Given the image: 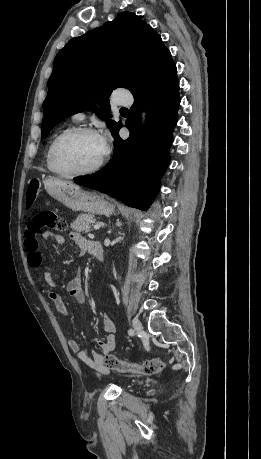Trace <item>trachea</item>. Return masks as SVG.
Wrapping results in <instances>:
<instances>
[{"label":"trachea","mask_w":261,"mask_h":459,"mask_svg":"<svg viewBox=\"0 0 261 459\" xmlns=\"http://www.w3.org/2000/svg\"><path fill=\"white\" fill-rule=\"evenodd\" d=\"M120 110H121V111H127V109L124 108V107H122Z\"/></svg>","instance_id":"3493384b"}]
</instances>
